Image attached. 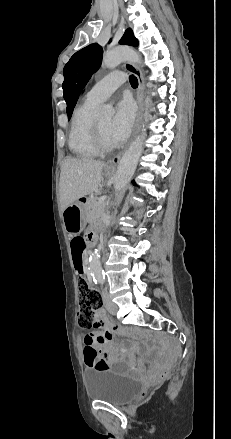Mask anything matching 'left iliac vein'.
<instances>
[{
    "mask_svg": "<svg viewBox=\"0 0 231 439\" xmlns=\"http://www.w3.org/2000/svg\"><path fill=\"white\" fill-rule=\"evenodd\" d=\"M102 297H103V300H104V304H105L106 309H107L111 314H116V312H117V310H118V307H117V305L111 300V298H110V296H109V294H108L106 288H103V290H102Z\"/></svg>",
    "mask_w": 231,
    "mask_h": 439,
    "instance_id": "1",
    "label": "left iliac vein"
}]
</instances>
